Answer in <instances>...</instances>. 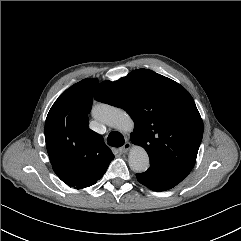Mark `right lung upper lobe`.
I'll list each match as a JSON object with an SVG mask.
<instances>
[{
  "instance_id": "obj_1",
  "label": "right lung upper lobe",
  "mask_w": 241,
  "mask_h": 241,
  "mask_svg": "<svg viewBox=\"0 0 241 241\" xmlns=\"http://www.w3.org/2000/svg\"><path fill=\"white\" fill-rule=\"evenodd\" d=\"M98 79H84L62 93L45 122V141L50 162L82 172H106L114 156L101 135L88 127V113Z\"/></svg>"
}]
</instances>
